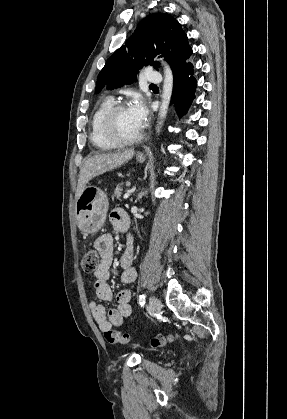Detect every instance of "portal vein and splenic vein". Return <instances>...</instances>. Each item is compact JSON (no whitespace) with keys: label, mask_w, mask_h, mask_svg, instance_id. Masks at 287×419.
Returning a JSON list of instances; mask_svg holds the SVG:
<instances>
[{"label":"portal vein and splenic vein","mask_w":287,"mask_h":419,"mask_svg":"<svg viewBox=\"0 0 287 419\" xmlns=\"http://www.w3.org/2000/svg\"><path fill=\"white\" fill-rule=\"evenodd\" d=\"M129 196H130V192L128 191V192H126V193L124 194L123 198H124V199H127Z\"/></svg>","instance_id":"1"}]
</instances>
